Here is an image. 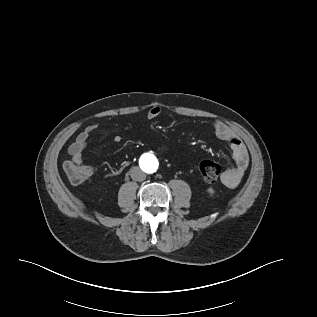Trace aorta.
I'll use <instances>...</instances> for the list:
<instances>
[{
	"label": "aorta",
	"instance_id": "obj_1",
	"mask_svg": "<svg viewBox=\"0 0 317 317\" xmlns=\"http://www.w3.org/2000/svg\"><path fill=\"white\" fill-rule=\"evenodd\" d=\"M141 161L149 173H153L156 171L157 161H156V157L154 155L151 154V155H149L148 158L143 157Z\"/></svg>",
	"mask_w": 317,
	"mask_h": 317
}]
</instances>
